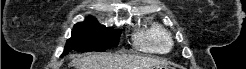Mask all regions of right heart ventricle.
Masks as SVG:
<instances>
[{
	"mask_svg": "<svg viewBox=\"0 0 246 69\" xmlns=\"http://www.w3.org/2000/svg\"><path fill=\"white\" fill-rule=\"evenodd\" d=\"M134 46L137 50L147 53H165L171 45L170 34L159 25L134 35Z\"/></svg>",
	"mask_w": 246,
	"mask_h": 69,
	"instance_id": "1",
	"label": "right heart ventricle"
}]
</instances>
